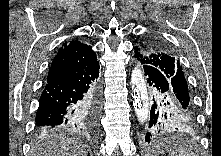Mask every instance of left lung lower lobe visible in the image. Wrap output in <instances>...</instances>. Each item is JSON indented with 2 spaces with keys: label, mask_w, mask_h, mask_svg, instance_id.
<instances>
[{
  "label": "left lung lower lobe",
  "mask_w": 221,
  "mask_h": 156,
  "mask_svg": "<svg viewBox=\"0 0 221 156\" xmlns=\"http://www.w3.org/2000/svg\"><path fill=\"white\" fill-rule=\"evenodd\" d=\"M143 69L145 83L148 85L143 140L152 142L192 128L195 121L194 110L185 108L175 96L174 82L169 72L147 65H143Z\"/></svg>",
  "instance_id": "left-lung-lower-lobe-1"
}]
</instances>
